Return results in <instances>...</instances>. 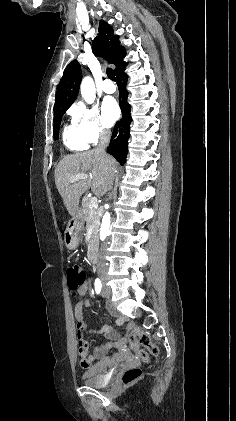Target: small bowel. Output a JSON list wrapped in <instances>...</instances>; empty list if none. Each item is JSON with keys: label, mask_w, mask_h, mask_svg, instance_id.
I'll use <instances>...</instances> for the list:
<instances>
[{"label": "small bowel", "mask_w": 236, "mask_h": 421, "mask_svg": "<svg viewBox=\"0 0 236 421\" xmlns=\"http://www.w3.org/2000/svg\"><path fill=\"white\" fill-rule=\"evenodd\" d=\"M87 289H88L87 285H84V287L80 290L79 294L81 296H84L87 292ZM90 306H91V302L89 300H83L75 306V317L78 321L79 327L84 326L83 316H82V308L83 307H90ZM80 355H81V360H80L81 367L84 368V369H89L90 364H91V357H86L85 350H82ZM91 369H93V368H91Z\"/></svg>", "instance_id": "small-bowel-1"}]
</instances>
